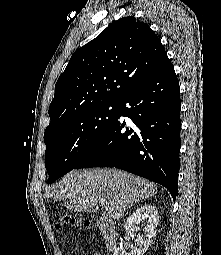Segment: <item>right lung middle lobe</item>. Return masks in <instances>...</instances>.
Returning a JSON list of instances; mask_svg holds the SVG:
<instances>
[{
	"label": "right lung middle lobe",
	"mask_w": 221,
	"mask_h": 255,
	"mask_svg": "<svg viewBox=\"0 0 221 255\" xmlns=\"http://www.w3.org/2000/svg\"><path fill=\"white\" fill-rule=\"evenodd\" d=\"M119 110V103L93 105L45 131L47 183L74 169L87 156L116 121Z\"/></svg>",
	"instance_id": "dd1d6c3e"
}]
</instances>
